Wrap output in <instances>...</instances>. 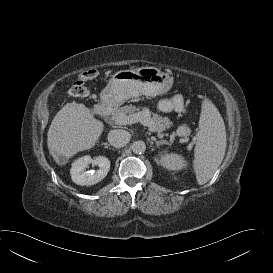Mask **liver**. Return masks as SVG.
<instances>
[{"instance_id": "liver-1", "label": "liver", "mask_w": 273, "mask_h": 273, "mask_svg": "<svg viewBox=\"0 0 273 273\" xmlns=\"http://www.w3.org/2000/svg\"><path fill=\"white\" fill-rule=\"evenodd\" d=\"M104 125L84 104L67 103L53 118L47 133L49 153L58 165L76 153L92 148Z\"/></svg>"}]
</instances>
